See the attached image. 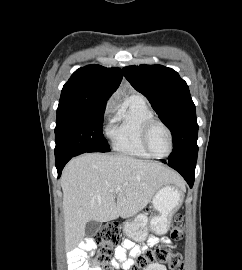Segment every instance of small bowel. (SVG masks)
<instances>
[{"label":"small bowel","mask_w":242,"mask_h":270,"mask_svg":"<svg viewBox=\"0 0 242 270\" xmlns=\"http://www.w3.org/2000/svg\"><path fill=\"white\" fill-rule=\"evenodd\" d=\"M159 239L150 236L147 240V245H135L128 239H125L120 246L115 249L113 264L122 268H129L133 264V258L144 253L148 247H153L159 243ZM161 242L165 245H170L168 238L164 237ZM94 248V243L91 239H86L80 246L74 249L69 255V263L74 270H99L97 266L90 265L85 259L87 252ZM127 252L129 256H127ZM148 270H167L162 264H152Z\"/></svg>","instance_id":"1"}]
</instances>
